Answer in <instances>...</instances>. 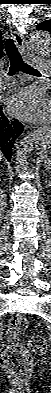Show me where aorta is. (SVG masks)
I'll use <instances>...</instances> for the list:
<instances>
[{"label": "aorta", "mask_w": 51, "mask_h": 393, "mask_svg": "<svg viewBox=\"0 0 51 393\" xmlns=\"http://www.w3.org/2000/svg\"><path fill=\"white\" fill-rule=\"evenodd\" d=\"M28 43L34 52L41 56H47L51 51V37L44 31L32 32L27 38ZM51 131L49 128H42L35 131L24 139L17 148L15 154L16 166L21 171H26L28 167L27 152L30 148L43 147L49 144Z\"/></svg>", "instance_id": "1"}]
</instances>
